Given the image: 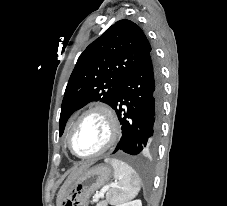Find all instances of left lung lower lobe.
<instances>
[{"label": "left lung lower lobe", "instance_id": "obj_1", "mask_svg": "<svg viewBox=\"0 0 227 206\" xmlns=\"http://www.w3.org/2000/svg\"><path fill=\"white\" fill-rule=\"evenodd\" d=\"M162 95L160 71L151 54L126 77L112 107L122 129V138L113 153L140 155L154 151L159 138Z\"/></svg>", "mask_w": 227, "mask_h": 206}]
</instances>
